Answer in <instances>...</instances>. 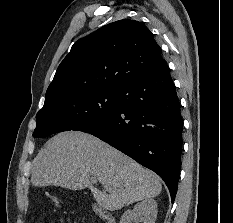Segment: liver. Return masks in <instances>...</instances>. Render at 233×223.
<instances>
[{
  "mask_svg": "<svg viewBox=\"0 0 233 223\" xmlns=\"http://www.w3.org/2000/svg\"><path fill=\"white\" fill-rule=\"evenodd\" d=\"M31 169L35 187H89L95 201L110 211L156 197L162 189L156 173L83 131H62L51 137L34 157ZM91 175L105 189L92 185Z\"/></svg>",
  "mask_w": 233,
  "mask_h": 223,
  "instance_id": "6515ba94",
  "label": "liver"
}]
</instances>
